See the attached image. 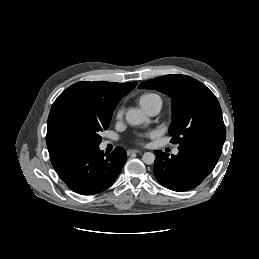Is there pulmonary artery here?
I'll return each instance as SVG.
<instances>
[{
    "label": "pulmonary artery",
    "instance_id": "pulmonary-artery-1",
    "mask_svg": "<svg viewBox=\"0 0 259 259\" xmlns=\"http://www.w3.org/2000/svg\"><path fill=\"white\" fill-rule=\"evenodd\" d=\"M161 107L159 105H153L149 107L147 110H145L150 116H155L159 113ZM178 149H174L173 153L176 155L178 154Z\"/></svg>",
    "mask_w": 259,
    "mask_h": 259
}]
</instances>
